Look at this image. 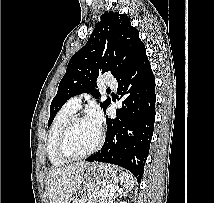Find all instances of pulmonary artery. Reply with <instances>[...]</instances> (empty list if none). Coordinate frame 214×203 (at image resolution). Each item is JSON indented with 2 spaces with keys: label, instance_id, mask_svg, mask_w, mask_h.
I'll return each instance as SVG.
<instances>
[{
  "label": "pulmonary artery",
  "instance_id": "pulmonary-artery-1",
  "mask_svg": "<svg viewBox=\"0 0 214 203\" xmlns=\"http://www.w3.org/2000/svg\"><path fill=\"white\" fill-rule=\"evenodd\" d=\"M103 84L107 87L115 89L117 87V81L112 77H107L104 79ZM81 104V97L75 96L68 100L67 105L73 109L77 110L80 107Z\"/></svg>",
  "mask_w": 214,
  "mask_h": 203
}]
</instances>
